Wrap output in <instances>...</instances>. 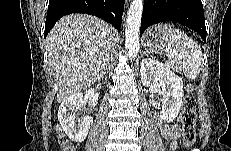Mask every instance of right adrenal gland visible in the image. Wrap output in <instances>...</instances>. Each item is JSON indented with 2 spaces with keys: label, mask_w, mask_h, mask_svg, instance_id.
I'll return each mask as SVG.
<instances>
[{
  "label": "right adrenal gland",
  "mask_w": 231,
  "mask_h": 151,
  "mask_svg": "<svg viewBox=\"0 0 231 151\" xmlns=\"http://www.w3.org/2000/svg\"><path fill=\"white\" fill-rule=\"evenodd\" d=\"M108 65H109V60H108L107 63H106L104 74H106V72H108Z\"/></svg>",
  "instance_id": "obj_1"
}]
</instances>
